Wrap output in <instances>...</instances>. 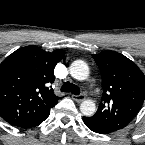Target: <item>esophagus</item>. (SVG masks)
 Returning <instances> with one entry per match:
<instances>
[{"instance_id":"34e87169","label":"esophagus","mask_w":145,"mask_h":145,"mask_svg":"<svg viewBox=\"0 0 145 145\" xmlns=\"http://www.w3.org/2000/svg\"><path fill=\"white\" fill-rule=\"evenodd\" d=\"M72 97H73V99H74L76 102H78V103L84 101L85 98H86L85 95H83V94H80V95H73Z\"/></svg>"}]
</instances>
